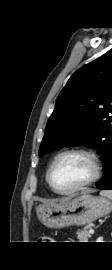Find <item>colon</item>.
<instances>
[{"label":"colon","instance_id":"5ec220e1","mask_svg":"<svg viewBox=\"0 0 112 270\" xmlns=\"http://www.w3.org/2000/svg\"><path fill=\"white\" fill-rule=\"evenodd\" d=\"M44 239H49V237H44Z\"/></svg>","mask_w":112,"mask_h":270}]
</instances>
